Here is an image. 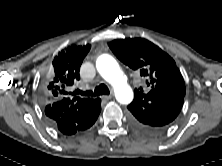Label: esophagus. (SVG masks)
Returning <instances> with one entry per match:
<instances>
[{
	"label": "esophagus",
	"instance_id": "1",
	"mask_svg": "<svg viewBox=\"0 0 222 166\" xmlns=\"http://www.w3.org/2000/svg\"><path fill=\"white\" fill-rule=\"evenodd\" d=\"M102 98L104 100H110L112 98V95H104V96H102Z\"/></svg>",
	"mask_w": 222,
	"mask_h": 166
}]
</instances>
